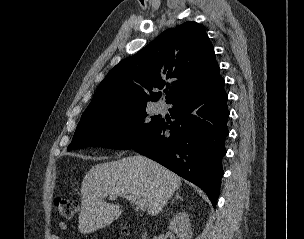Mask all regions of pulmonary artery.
I'll list each match as a JSON object with an SVG mask.
<instances>
[{"label": "pulmonary artery", "instance_id": "1", "mask_svg": "<svg viewBox=\"0 0 304 239\" xmlns=\"http://www.w3.org/2000/svg\"><path fill=\"white\" fill-rule=\"evenodd\" d=\"M165 107H166V105H165V103H163V102H159V103H157L156 106H155L157 112H162V111H164V110H165Z\"/></svg>", "mask_w": 304, "mask_h": 239}]
</instances>
